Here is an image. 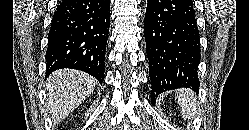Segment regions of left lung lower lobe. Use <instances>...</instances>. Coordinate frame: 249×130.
<instances>
[{"instance_id": "1", "label": "left lung lower lobe", "mask_w": 249, "mask_h": 130, "mask_svg": "<svg viewBox=\"0 0 249 130\" xmlns=\"http://www.w3.org/2000/svg\"><path fill=\"white\" fill-rule=\"evenodd\" d=\"M145 41L151 100L181 87L198 91L200 38L195 7L189 0H147Z\"/></svg>"}]
</instances>
